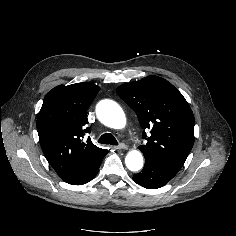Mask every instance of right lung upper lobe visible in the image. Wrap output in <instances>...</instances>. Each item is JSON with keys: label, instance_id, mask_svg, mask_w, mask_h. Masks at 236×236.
<instances>
[{"label": "right lung upper lobe", "instance_id": "1", "mask_svg": "<svg viewBox=\"0 0 236 236\" xmlns=\"http://www.w3.org/2000/svg\"><path fill=\"white\" fill-rule=\"evenodd\" d=\"M100 88L89 82L59 85L49 91L37 118L42 151L65 181L76 180L91 170L107 153L95 146L89 133L87 109Z\"/></svg>", "mask_w": 236, "mask_h": 236}]
</instances>
